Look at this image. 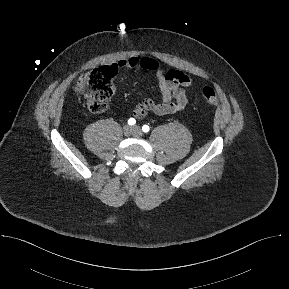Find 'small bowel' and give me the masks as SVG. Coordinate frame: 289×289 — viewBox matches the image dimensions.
Masks as SVG:
<instances>
[{
  "instance_id": "small-bowel-1",
  "label": "small bowel",
  "mask_w": 289,
  "mask_h": 289,
  "mask_svg": "<svg viewBox=\"0 0 289 289\" xmlns=\"http://www.w3.org/2000/svg\"><path fill=\"white\" fill-rule=\"evenodd\" d=\"M116 67L122 69L141 68L154 73L161 99L156 102L144 99L133 109V116L144 118L149 113L167 115L182 111L188 104L186 88L193 85V79L178 70H165L151 57L132 56L118 61Z\"/></svg>"
}]
</instances>
